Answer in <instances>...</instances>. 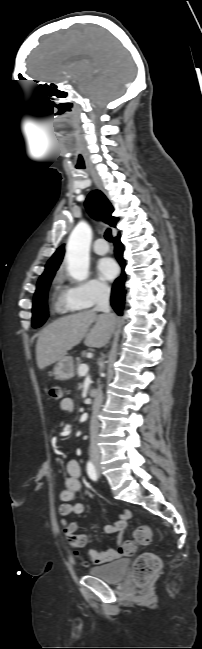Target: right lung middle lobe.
Wrapping results in <instances>:
<instances>
[{"label":"right lung middle lobe","mask_w":202,"mask_h":649,"mask_svg":"<svg viewBox=\"0 0 202 649\" xmlns=\"http://www.w3.org/2000/svg\"><path fill=\"white\" fill-rule=\"evenodd\" d=\"M54 274V272L49 273L41 276L38 280L32 308V326L34 328L42 326L48 318L47 293Z\"/></svg>","instance_id":"1"}]
</instances>
